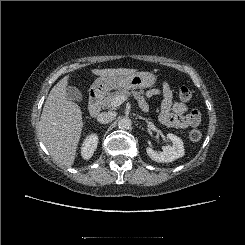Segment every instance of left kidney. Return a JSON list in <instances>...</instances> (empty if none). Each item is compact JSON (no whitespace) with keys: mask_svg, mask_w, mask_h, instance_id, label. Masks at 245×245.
<instances>
[{"mask_svg":"<svg viewBox=\"0 0 245 245\" xmlns=\"http://www.w3.org/2000/svg\"><path fill=\"white\" fill-rule=\"evenodd\" d=\"M172 146H164L162 151H155L151 147L146 148L148 156L159 163H169L184 156L183 141L172 133L167 134Z\"/></svg>","mask_w":245,"mask_h":245,"instance_id":"obj_1","label":"left kidney"}]
</instances>
